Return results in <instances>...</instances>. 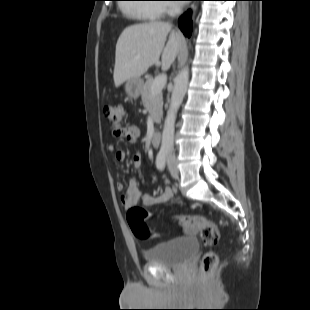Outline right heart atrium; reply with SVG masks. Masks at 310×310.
<instances>
[{
  "label": "right heart atrium",
  "instance_id": "right-heart-atrium-1",
  "mask_svg": "<svg viewBox=\"0 0 310 310\" xmlns=\"http://www.w3.org/2000/svg\"><path fill=\"white\" fill-rule=\"evenodd\" d=\"M159 8L162 10V12H171L174 9L171 3L162 4Z\"/></svg>",
  "mask_w": 310,
  "mask_h": 310
}]
</instances>
